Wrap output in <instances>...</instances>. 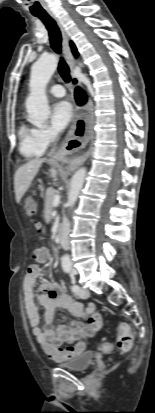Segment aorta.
Wrapping results in <instances>:
<instances>
[{"label":"aorta","instance_id":"aorta-1","mask_svg":"<svg viewBox=\"0 0 155 413\" xmlns=\"http://www.w3.org/2000/svg\"><path fill=\"white\" fill-rule=\"evenodd\" d=\"M58 59L55 55L41 56L32 66L30 75V93L26 99V110L29 122L35 126H41L49 117L50 109L46 96V86L55 72ZM86 176V168L78 169L72 176L68 200L66 206L72 208L83 187ZM62 267L70 270L72 263L68 255L61 258Z\"/></svg>","mask_w":155,"mask_h":413}]
</instances>
